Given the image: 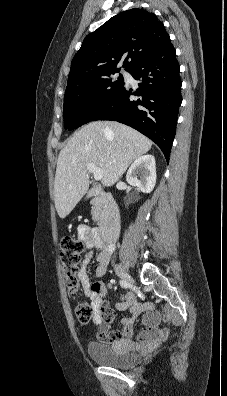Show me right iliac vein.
Returning a JSON list of instances; mask_svg holds the SVG:
<instances>
[{
	"mask_svg": "<svg viewBox=\"0 0 227 396\" xmlns=\"http://www.w3.org/2000/svg\"><path fill=\"white\" fill-rule=\"evenodd\" d=\"M116 273L122 280L126 281L128 284L134 283V280L129 274L128 269L124 265L120 264L116 266Z\"/></svg>",
	"mask_w": 227,
	"mask_h": 396,
	"instance_id": "obj_1",
	"label": "right iliac vein"
}]
</instances>
